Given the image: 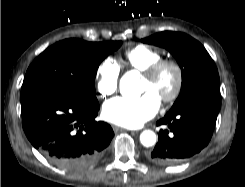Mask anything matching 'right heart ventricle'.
Returning a JSON list of instances; mask_svg holds the SVG:
<instances>
[{
    "mask_svg": "<svg viewBox=\"0 0 245 187\" xmlns=\"http://www.w3.org/2000/svg\"><path fill=\"white\" fill-rule=\"evenodd\" d=\"M124 58L132 68L145 71L151 64L162 58V52L156 48L138 44L126 49Z\"/></svg>",
    "mask_w": 245,
    "mask_h": 187,
    "instance_id": "obj_1",
    "label": "right heart ventricle"
}]
</instances>
